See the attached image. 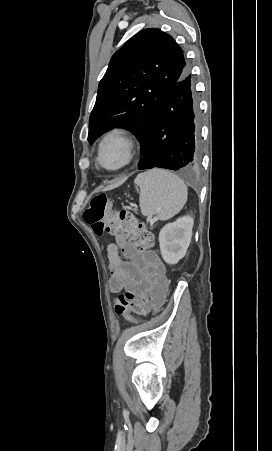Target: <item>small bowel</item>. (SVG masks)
Listing matches in <instances>:
<instances>
[{
  "label": "small bowel",
  "instance_id": "obj_1",
  "mask_svg": "<svg viewBox=\"0 0 272 451\" xmlns=\"http://www.w3.org/2000/svg\"><path fill=\"white\" fill-rule=\"evenodd\" d=\"M107 259L113 293L127 289L140 294L151 292L156 305L162 302L161 296L153 291V282L161 279L165 283L166 274V266L157 253L149 248L136 249L125 245L123 238H115V243L107 246Z\"/></svg>",
  "mask_w": 272,
  "mask_h": 451
}]
</instances>
